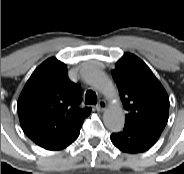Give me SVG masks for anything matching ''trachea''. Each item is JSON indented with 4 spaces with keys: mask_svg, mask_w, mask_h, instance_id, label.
Listing matches in <instances>:
<instances>
[{
    "mask_svg": "<svg viewBox=\"0 0 184 174\" xmlns=\"http://www.w3.org/2000/svg\"><path fill=\"white\" fill-rule=\"evenodd\" d=\"M85 103L86 104H96L97 96L92 90H88L85 94Z\"/></svg>",
    "mask_w": 184,
    "mask_h": 174,
    "instance_id": "obj_1",
    "label": "trachea"
}]
</instances>
